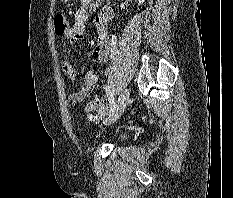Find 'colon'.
Segmentation results:
<instances>
[{"label": "colon", "instance_id": "colon-1", "mask_svg": "<svg viewBox=\"0 0 233 198\" xmlns=\"http://www.w3.org/2000/svg\"><path fill=\"white\" fill-rule=\"evenodd\" d=\"M54 27H55V33L57 35H63L65 31L68 28L67 21L65 17L62 14H56L54 16ZM87 110L91 113H97L102 114L105 109V101L103 98H93L89 101V103L86 106Z\"/></svg>", "mask_w": 233, "mask_h": 198}]
</instances>
